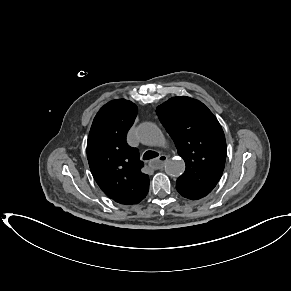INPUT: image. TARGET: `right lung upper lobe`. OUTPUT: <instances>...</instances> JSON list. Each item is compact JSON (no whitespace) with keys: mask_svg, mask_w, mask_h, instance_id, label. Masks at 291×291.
Returning a JSON list of instances; mask_svg holds the SVG:
<instances>
[{"mask_svg":"<svg viewBox=\"0 0 291 291\" xmlns=\"http://www.w3.org/2000/svg\"><path fill=\"white\" fill-rule=\"evenodd\" d=\"M137 115V106L126 99L112 100L96 114L87 141V158L101 190L115 202L137 204L149 190V176L126 135Z\"/></svg>","mask_w":291,"mask_h":291,"instance_id":"cb5924a9","label":"right lung upper lobe"}]
</instances>
